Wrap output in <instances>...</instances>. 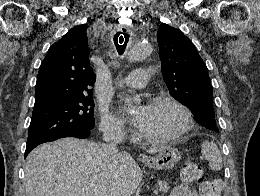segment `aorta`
Masks as SVG:
<instances>
[{
	"label": "aorta",
	"instance_id": "1",
	"mask_svg": "<svg viewBox=\"0 0 260 196\" xmlns=\"http://www.w3.org/2000/svg\"><path fill=\"white\" fill-rule=\"evenodd\" d=\"M152 51L151 46L148 43L136 44L128 53V62L133 63L145 59L150 55ZM126 101H133L131 98H126Z\"/></svg>",
	"mask_w": 260,
	"mask_h": 196
}]
</instances>
